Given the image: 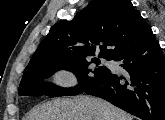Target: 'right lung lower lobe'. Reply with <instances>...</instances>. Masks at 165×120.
Instances as JSON below:
<instances>
[{"label": "right lung lower lobe", "instance_id": "1", "mask_svg": "<svg viewBox=\"0 0 165 120\" xmlns=\"http://www.w3.org/2000/svg\"><path fill=\"white\" fill-rule=\"evenodd\" d=\"M113 60L120 62L128 74L110 72L84 92L142 120H165V57L154 35L130 46Z\"/></svg>", "mask_w": 165, "mask_h": 120}]
</instances>
